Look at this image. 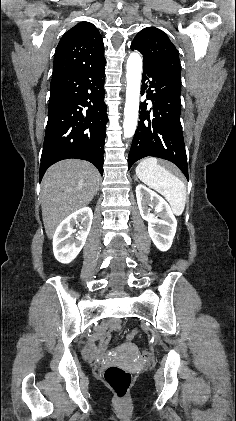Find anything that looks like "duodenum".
I'll return each instance as SVG.
<instances>
[{
	"label": "duodenum",
	"instance_id": "obj_1",
	"mask_svg": "<svg viewBox=\"0 0 236 421\" xmlns=\"http://www.w3.org/2000/svg\"><path fill=\"white\" fill-rule=\"evenodd\" d=\"M115 328H116V329L120 328L119 324H116V325H115Z\"/></svg>",
	"mask_w": 236,
	"mask_h": 421
}]
</instances>
